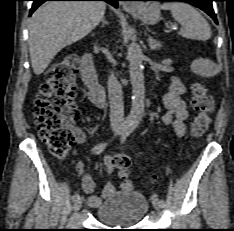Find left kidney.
Segmentation results:
<instances>
[{"label": "left kidney", "instance_id": "left-kidney-1", "mask_svg": "<svg viewBox=\"0 0 234 231\" xmlns=\"http://www.w3.org/2000/svg\"><path fill=\"white\" fill-rule=\"evenodd\" d=\"M220 66L208 59L198 58L191 63V71L202 77H212L219 73Z\"/></svg>", "mask_w": 234, "mask_h": 231}]
</instances>
